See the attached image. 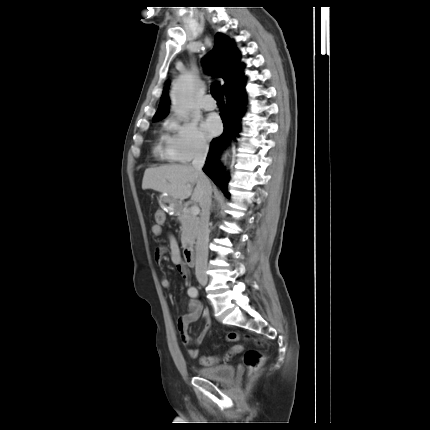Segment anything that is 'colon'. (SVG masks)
Listing matches in <instances>:
<instances>
[{
	"label": "colon",
	"instance_id": "5ec220e1",
	"mask_svg": "<svg viewBox=\"0 0 430 430\" xmlns=\"http://www.w3.org/2000/svg\"><path fill=\"white\" fill-rule=\"evenodd\" d=\"M154 218H155L156 224L161 225V224H163V222L165 220V215L161 210H157L154 213ZM239 338H240V335L237 332H233V331L228 332L226 335V340L228 342H236L239 340ZM245 338L249 339L250 336L246 335ZM240 351L241 350H239L236 346H234L231 350L226 352L223 357H220V356H203L201 358V363L204 366H213V365L218 364L221 360H227V359L231 358L234 354H236ZM243 360H244V364L247 368V372H248L249 377H254L256 375V373L259 371V369L261 368V366L263 365L264 360H265V355L259 350L250 349V350L245 352Z\"/></svg>",
	"mask_w": 430,
	"mask_h": 430
}]
</instances>
